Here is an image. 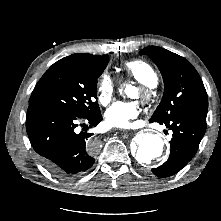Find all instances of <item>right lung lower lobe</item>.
I'll list each match as a JSON object with an SVG mask.
<instances>
[{"label":"right lung lower lobe","instance_id":"98d812e1","mask_svg":"<svg viewBox=\"0 0 221 221\" xmlns=\"http://www.w3.org/2000/svg\"><path fill=\"white\" fill-rule=\"evenodd\" d=\"M102 121V115L82 118L61 109L29 105L26 130L40 162L52 174L71 178L81 175L94 164L93 133H76L78 123L88 128Z\"/></svg>","mask_w":221,"mask_h":221}]
</instances>
